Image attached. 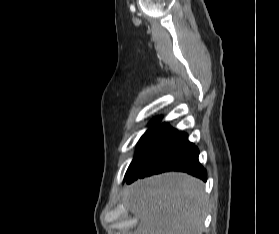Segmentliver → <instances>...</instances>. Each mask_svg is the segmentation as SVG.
I'll list each match as a JSON object with an SVG mask.
<instances>
[{"label":"liver","instance_id":"1","mask_svg":"<svg viewBox=\"0 0 279 234\" xmlns=\"http://www.w3.org/2000/svg\"><path fill=\"white\" fill-rule=\"evenodd\" d=\"M126 204L139 218L133 234H202L207 198L203 183L185 173L170 172L138 180L126 193Z\"/></svg>","mask_w":279,"mask_h":234}]
</instances>
